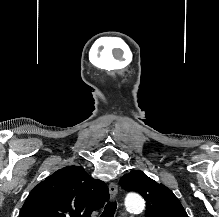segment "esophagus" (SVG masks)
<instances>
[{
  "label": "esophagus",
  "instance_id": "1",
  "mask_svg": "<svg viewBox=\"0 0 219 217\" xmlns=\"http://www.w3.org/2000/svg\"><path fill=\"white\" fill-rule=\"evenodd\" d=\"M118 193V186L115 182H110L109 183V194H110V199L114 200L117 196Z\"/></svg>",
  "mask_w": 219,
  "mask_h": 217
}]
</instances>
